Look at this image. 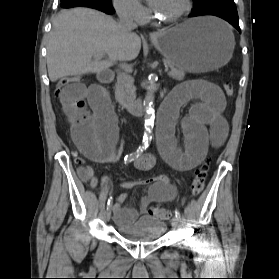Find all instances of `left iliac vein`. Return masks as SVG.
I'll return each instance as SVG.
<instances>
[{"mask_svg":"<svg viewBox=\"0 0 279 279\" xmlns=\"http://www.w3.org/2000/svg\"><path fill=\"white\" fill-rule=\"evenodd\" d=\"M171 225L175 230H177L179 228V221L177 220L176 217L172 218Z\"/></svg>","mask_w":279,"mask_h":279,"instance_id":"left-iliac-vein-1","label":"left iliac vein"}]
</instances>
